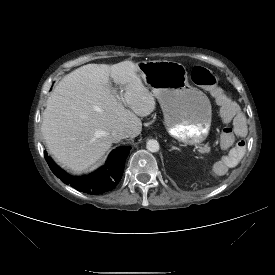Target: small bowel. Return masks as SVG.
Masks as SVG:
<instances>
[{
	"instance_id": "1",
	"label": "small bowel",
	"mask_w": 275,
	"mask_h": 275,
	"mask_svg": "<svg viewBox=\"0 0 275 275\" xmlns=\"http://www.w3.org/2000/svg\"><path fill=\"white\" fill-rule=\"evenodd\" d=\"M230 108L233 110L232 115L233 127H226L221 133V143L223 148L232 146L234 136H243L246 133L247 125L243 113L240 112V107L235 102H229ZM242 155L232 149H227L221 152L219 157L209 167V176L216 181L222 180L228 172L238 169L241 163Z\"/></svg>"
}]
</instances>
